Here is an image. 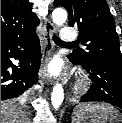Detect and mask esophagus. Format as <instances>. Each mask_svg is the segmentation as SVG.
<instances>
[{"mask_svg": "<svg viewBox=\"0 0 122 123\" xmlns=\"http://www.w3.org/2000/svg\"><path fill=\"white\" fill-rule=\"evenodd\" d=\"M54 31H55V26L49 19H46L44 22V37H43L44 51H43V59H42L41 78L45 83L51 85L54 84L55 80L53 77L49 76L45 72V65L47 61L50 59L54 50V44L52 41V34L54 33Z\"/></svg>", "mask_w": 122, "mask_h": 123, "instance_id": "34e87169", "label": "esophagus"}]
</instances>
